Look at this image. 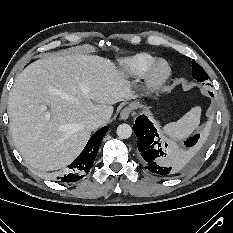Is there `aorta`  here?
Wrapping results in <instances>:
<instances>
[{
	"label": "aorta",
	"mask_w": 233,
	"mask_h": 233,
	"mask_svg": "<svg viewBox=\"0 0 233 233\" xmlns=\"http://www.w3.org/2000/svg\"><path fill=\"white\" fill-rule=\"evenodd\" d=\"M117 135L121 139H128L132 135V128L128 124H120L117 127Z\"/></svg>",
	"instance_id": "obj_1"
}]
</instances>
